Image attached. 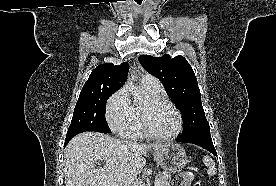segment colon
Returning <instances> with one entry per match:
<instances>
[{"mask_svg": "<svg viewBox=\"0 0 276 186\" xmlns=\"http://www.w3.org/2000/svg\"><path fill=\"white\" fill-rule=\"evenodd\" d=\"M173 186H199L192 171H183L177 174L173 181Z\"/></svg>", "mask_w": 276, "mask_h": 186, "instance_id": "5ec220e1", "label": "colon"}]
</instances>
